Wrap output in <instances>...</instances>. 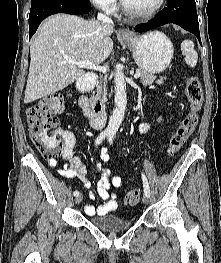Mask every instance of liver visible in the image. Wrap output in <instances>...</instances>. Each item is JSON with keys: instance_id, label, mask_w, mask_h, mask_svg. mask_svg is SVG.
Wrapping results in <instances>:
<instances>
[{"instance_id": "1", "label": "liver", "mask_w": 221, "mask_h": 263, "mask_svg": "<svg viewBox=\"0 0 221 263\" xmlns=\"http://www.w3.org/2000/svg\"><path fill=\"white\" fill-rule=\"evenodd\" d=\"M113 26L96 20L57 14L40 26L30 46V67L24 103L60 91L84 74L66 60H89L98 65L113 49Z\"/></svg>"}]
</instances>
